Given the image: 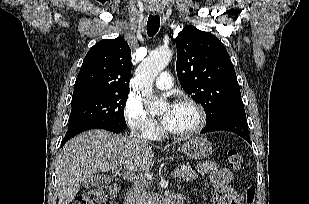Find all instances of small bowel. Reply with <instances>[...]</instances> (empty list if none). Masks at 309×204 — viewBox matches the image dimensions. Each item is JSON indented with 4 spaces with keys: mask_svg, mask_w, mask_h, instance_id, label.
<instances>
[{
    "mask_svg": "<svg viewBox=\"0 0 309 204\" xmlns=\"http://www.w3.org/2000/svg\"><path fill=\"white\" fill-rule=\"evenodd\" d=\"M200 170L210 177L214 189L212 204H242L243 195L231 185L233 173L230 169L208 161L201 164Z\"/></svg>",
    "mask_w": 309,
    "mask_h": 204,
    "instance_id": "1",
    "label": "small bowel"
}]
</instances>
